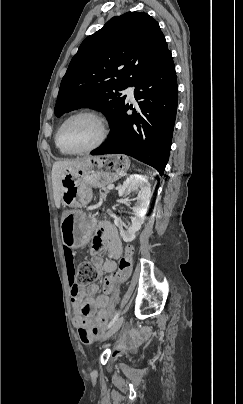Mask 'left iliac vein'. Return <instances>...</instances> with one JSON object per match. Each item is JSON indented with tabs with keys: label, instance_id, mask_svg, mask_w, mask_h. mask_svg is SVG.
<instances>
[{
	"label": "left iliac vein",
	"instance_id": "left-iliac-vein-1",
	"mask_svg": "<svg viewBox=\"0 0 243 404\" xmlns=\"http://www.w3.org/2000/svg\"><path fill=\"white\" fill-rule=\"evenodd\" d=\"M123 321H124V317L122 316L114 323V325L104 335L103 340H106L109 337H111L113 334H115L120 329V327L122 326Z\"/></svg>",
	"mask_w": 243,
	"mask_h": 404
}]
</instances>
